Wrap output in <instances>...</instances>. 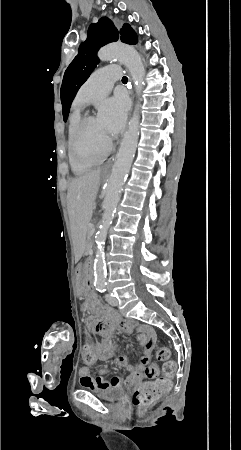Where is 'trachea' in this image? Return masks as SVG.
Instances as JSON below:
<instances>
[{"instance_id": "trachea-1", "label": "trachea", "mask_w": 241, "mask_h": 450, "mask_svg": "<svg viewBox=\"0 0 241 450\" xmlns=\"http://www.w3.org/2000/svg\"><path fill=\"white\" fill-rule=\"evenodd\" d=\"M127 80H128L127 77H123V78H122V81H127Z\"/></svg>"}]
</instances>
